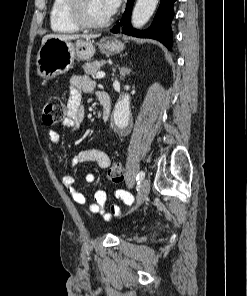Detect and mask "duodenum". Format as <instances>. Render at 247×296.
<instances>
[{"instance_id": "duodenum-1", "label": "duodenum", "mask_w": 247, "mask_h": 296, "mask_svg": "<svg viewBox=\"0 0 247 296\" xmlns=\"http://www.w3.org/2000/svg\"><path fill=\"white\" fill-rule=\"evenodd\" d=\"M98 99L103 108V115H102L103 120L106 122L109 119L110 112H111L110 96L106 92L100 91L98 92Z\"/></svg>"}]
</instances>
